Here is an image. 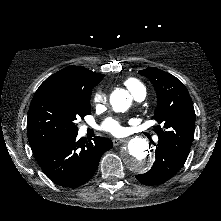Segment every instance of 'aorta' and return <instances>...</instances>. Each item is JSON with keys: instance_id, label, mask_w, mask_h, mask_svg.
<instances>
[{"instance_id": "obj_1", "label": "aorta", "mask_w": 221, "mask_h": 221, "mask_svg": "<svg viewBox=\"0 0 221 221\" xmlns=\"http://www.w3.org/2000/svg\"><path fill=\"white\" fill-rule=\"evenodd\" d=\"M110 104L117 112L126 111L131 105L130 94L124 89H116L110 96ZM149 144L141 137L129 140L122 153L124 165L135 173H144L151 168Z\"/></svg>"}]
</instances>
